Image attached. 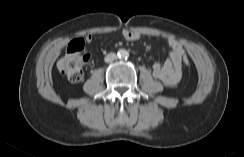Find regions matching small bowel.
Masks as SVG:
<instances>
[{
  "mask_svg": "<svg viewBox=\"0 0 244 157\" xmlns=\"http://www.w3.org/2000/svg\"><path fill=\"white\" fill-rule=\"evenodd\" d=\"M124 39L128 41H137L141 35L137 32L124 30L122 32ZM93 37L88 35L86 42L91 43ZM167 44L170 47V55L165 63L154 62L152 65V74L154 78L163 82L166 85L177 84L182 76V58L185 54L182 46L173 38L167 39Z\"/></svg>",
  "mask_w": 244,
  "mask_h": 157,
  "instance_id": "obj_1",
  "label": "small bowel"
}]
</instances>
